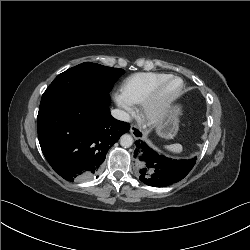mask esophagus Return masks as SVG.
Segmentation results:
<instances>
[{"label": "esophagus", "mask_w": 250, "mask_h": 250, "mask_svg": "<svg viewBox=\"0 0 250 250\" xmlns=\"http://www.w3.org/2000/svg\"><path fill=\"white\" fill-rule=\"evenodd\" d=\"M130 133L137 139H142L144 136L143 131L137 125H131Z\"/></svg>", "instance_id": "1"}]
</instances>
